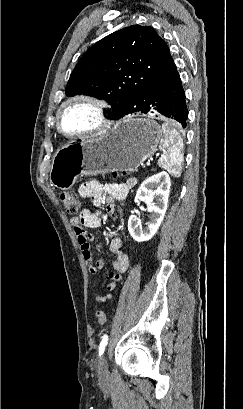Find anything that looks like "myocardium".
I'll list each match as a JSON object with an SVG mask.
<instances>
[{"label":"myocardium","instance_id":"obj_1","mask_svg":"<svg viewBox=\"0 0 243 409\" xmlns=\"http://www.w3.org/2000/svg\"><path fill=\"white\" fill-rule=\"evenodd\" d=\"M75 102L88 103L89 105L93 107L95 114H96V118H97V125L93 127L92 129H89L84 132L68 134L62 129L61 116H62L64 109L70 104L75 103ZM110 125H111V121L107 115L106 103L103 100L97 98L96 96H93L90 94H76V95L69 97L64 102H62L56 114L57 131L62 136L68 139H77V138L99 134V133H102L108 130Z\"/></svg>","mask_w":243,"mask_h":409}]
</instances>
